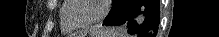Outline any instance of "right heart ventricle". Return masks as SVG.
<instances>
[{
  "label": "right heart ventricle",
  "mask_w": 219,
  "mask_h": 37,
  "mask_svg": "<svg viewBox=\"0 0 219 37\" xmlns=\"http://www.w3.org/2000/svg\"><path fill=\"white\" fill-rule=\"evenodd\" d=\"M68 8V3L65 1L60 8L61 28L65 34L71 33L75 28L71 27L64 19L63 13Z\"/></svg>",
  "instance_id": "right-heart-ventricle-1"
}]
</instances>
